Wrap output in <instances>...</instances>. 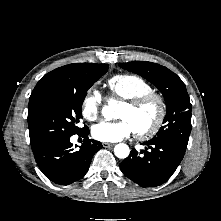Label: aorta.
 I'll use <instances>...</instances> for the list:
<instances>
[{
    "instance_id": "762f6f07",
    "label": "aorta",
    "mask_w": 221,
    "mask_h": 221,
    "mask_svg": "<svg viewBox=\"0 0 221 221\" xmlns=\"http://www.w3.org/2000/svg\"><path fill=\"white\" fill-rule=\"evenodd\" d=\"M116 106H117V101L111 99L108 102V105L104 106L102 109V114L104 118H106L107 120H111L114 117V111L116 109ZM114 153L118 158L124 159L128 157L130 149L128 145L124 143H119L115 146Z\"/></svg>"
}]
</instances>
